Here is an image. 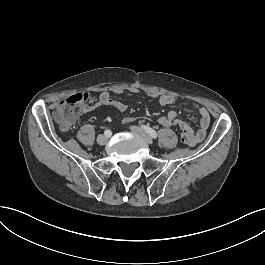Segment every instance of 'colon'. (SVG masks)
Masks as SVG:
<instances>
[{"instance_id": "1", "label": "colon", "mask_w": 265, "mask_h": 265, "mask_svg": "<svg viewBox=\"0 0 265 265\" xmlns=\"http://www.w3.org/2000/svg\"><path fill=\"white\" fill-rule=\"evenodd\" d=\"M94 98H95L94 95L92 94L87 95L85 92H82L79 95H73L71 96V98L66 99L64 103L65 105L72 107L85 100L92 101L94 100ZM55 117L57 121L60 122L62 125L68 126L71 124L73 120V111L68 107L59 106L56 109ZM181 139L184 143L191 145V136L187 135L184 129L182 131Z\"/></svg>"}]
</instances>
